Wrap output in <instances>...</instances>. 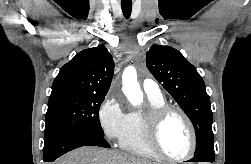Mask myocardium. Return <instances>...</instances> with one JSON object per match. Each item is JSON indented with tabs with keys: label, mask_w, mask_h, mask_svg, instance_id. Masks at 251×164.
Listing matches in <instances>:
<instances>
[{
	"label": "myocardium",
	"mask_w": 251,
	"mask_h": 164,
	"mask_svg": "<svg viewBox=\"0 0 251 164\" xmlns=\"http://www.w3.org/2000/svg\"><path fill=\"white\" fill-rule=\"evenodd\" d=\"M171 114H178L185 121L191 135V147L189 152L178 158L166 154L160 142L163 124ZM145 122L148 143L159 158L170 162H183L189 160L195 154L197 148L196 130L191 119L182 109L168 104L157 108H150L145 112Z\"/></svg>",
	"instance_id": "obj_1"
}]
</instances>
